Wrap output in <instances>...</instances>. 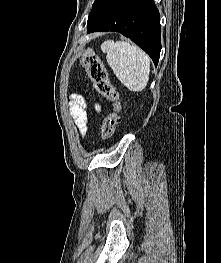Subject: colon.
Instances as JSON below:
<instances>
[{"mask_svg":"<svg viewBox=\"0 0 221 263\" xmlns=\"http://www.w3.org/2000/svg\"><path fill=\"white\" fill-rule=\"evenodd\" d=\"M82 66L86 70L95 91L111 104L110 111L104 118L101 131L102 138L109 139L114 135L119 121L118 94L111 83L103 62L93 51H87L84 54Z\"/></svg>","mask_w":221,"mask_h":263,"instance_id":"colon-1","label":"colon"}]
</instances>
